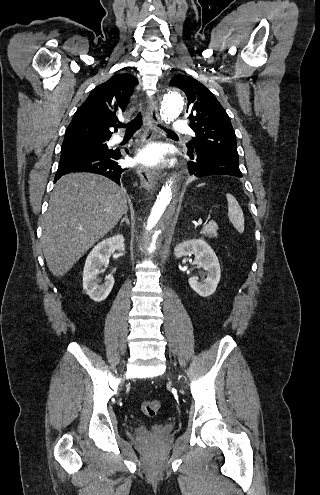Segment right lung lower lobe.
I'll return each mask as SVG.
<instances>
[{"instance_id":"right-lung-lower-lobe-1","label":"right lung lower lobe","mask_w":320,"mask_h":495,"mask_svg":"<svg viewBox=\"0 0 320 495\" xmlns=\"http://www.w3.org/2000/svg\"><path fill=\"white\" fill-rule=\"evenodd\" d=\"M128 152V150H126ZM121 158L120 151L114 150H64L55 175L56 182L62 175L71 172H91L104 175L120 184L121 174L126 170L117 160Z\"/></svg>"}]
</instances>
